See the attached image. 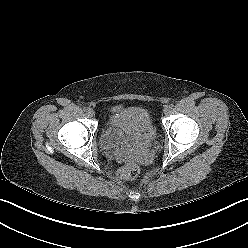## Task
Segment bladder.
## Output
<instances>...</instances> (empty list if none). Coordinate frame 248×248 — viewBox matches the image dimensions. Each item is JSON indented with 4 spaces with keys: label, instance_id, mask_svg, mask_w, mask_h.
<instances>
[{
    "label": "bladder",
    "instance_id": "1",
    "mask_svg": "<svg viewBox=\"0 0 248 248\" xmlns=\"http://www.w3.org/2000/svg\"><path fill=\"white\" fill-rule=\"evenodd\" d=\"M113 125L120 130H113ZM155 132L153 115L148 108L119 107L106 116L100 133V145L105 150H115L138 137L151 141Z\"/></svg>",
    "mask_w": 248,
    "mask_h": 248
}]
</instances>
